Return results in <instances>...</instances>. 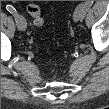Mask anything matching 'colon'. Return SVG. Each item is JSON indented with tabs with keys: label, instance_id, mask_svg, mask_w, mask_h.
I'll list each match as a JSON object with an SVG mask.
<instances>
[{
	"label": "colon",
	"instance_id": "colon-1",
	"mask_svg": "<svg viewBox=\"0 0 109 109\" xmlns=\"http://www.w3.org/2000/svg\"><path fill=\"white\" fill-rule=\"evenodd\" d=\"M27 10L32 18L33 25L37 28L42 27L44 24V18L40 7L37 4H30Z\"/></svg>",
	"mask_w": 109,
	"mask_h": 109
}]
</instances>
